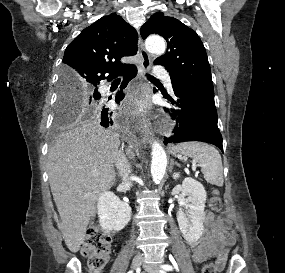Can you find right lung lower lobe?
Listing matches in <instances>:
<instances>
[{
    "instance_id": "1",
    "label": "right lung lower lobe",
    "mask_w": 285,
    "mask_h": 273,
    "mask_svg": "<svg viewBox=\"0 0 285 273\" xmlns=\"http://www.w3.org/2000/svg\"><path fill=\"white\" fill-rule=\"evenodd\" d=\"M137 74V68L134 65H131L129 67H127L126 69H124L120 74L118 75H123V82L121 84V88H125L128 84V82L133 79ZM114 78V77H113ZM112 78H109L108 80H111ZM123 94L122 91H120L117 95H116V101H120V99L122 98ZM106 103L107 101L102 100L101 101V107H100V112L98 115V120L100 121V124L103 127H109L113 124V117H112V112L106 107Z\"/></svg>"
}]
</instances>
